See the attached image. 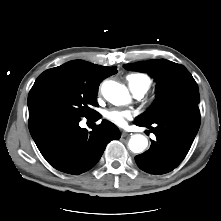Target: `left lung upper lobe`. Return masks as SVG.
<instances>
[{"mask_svg": "<svg viewBox=\"0 0 221 221\" xmlns=\"http://www.w3.org/2000/svg\"><path fill=\"white\" fill-rule=\"evenodd\" d=\"M124 67L148 73L157 81V99L136 120L152 124L172 117L200 118L198 86L184 66L160 59L126 64Z\"/></svg>", "mask_w": 221, "mask_h": 221, "instance_id": "1", "label": "left lung upper lobe"}]
</instances>
